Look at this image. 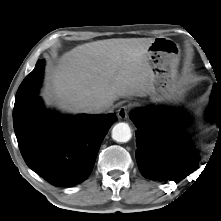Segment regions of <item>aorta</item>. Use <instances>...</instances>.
<instances>
[{
	"mask_svg": "<svg viewBox=\"0 0 221 221\" xmlns=\"http://www.w3.org/2000/svg\"><path fill=\"white\" fill-rule=\"evenodd\" d=\"M131 137V128L127 123H118L112 129V138L117 142H128Z\"/></svg>",
	"mask_w": 221,
	"mask_h": 221,
	"instance_id": "762f6f07",
	"label": "aorta"
}]
</instances>
